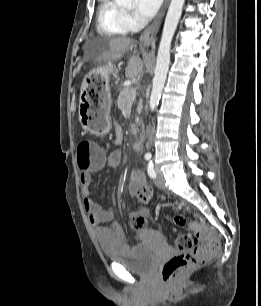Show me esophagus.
I'll return each mask as SVG.
<instances>
[{
    "label": "esophagus",
    "mask_w": 261,
    "mask_h": 306,
    "mask_svg": "<svg viewBox=\"0 0 261 306\" xmlns=\"http://www.w3.org/2000/svg\"><path fill=\"white\" fill-rule=\"evenodd\" d=\"M170 0H164L162 7L158 14L156 15L155 19L152 21V23L145 29V31L142 33L140 37V46L141 48H153L155 43V35L156 32L163 20V17L165 15L166 9L168 7Z\"/></svg>",
    "instance_id": "obj_1"
}]
</instances>
